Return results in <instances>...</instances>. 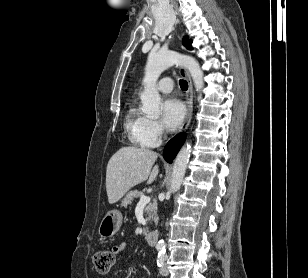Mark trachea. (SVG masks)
Masks as SVG:
<instances>
[{
  "instance_id": "obj_1",
  "label": "trachea",
  "mask_w": 308,
  "mask_h": 278,
  "mask_svg": "<svg viewBox=\"0 0 308 278\" xmlns=\"http://www.w3.org/2000/svg\"><path fill=\"white\" fill-rule=\"evenodd\" d=\"M179 84H180V88H181L182 90H187V89H188V83H187V81H185V80H180V81H179Z\"/></svg>"
}]
</instances>
